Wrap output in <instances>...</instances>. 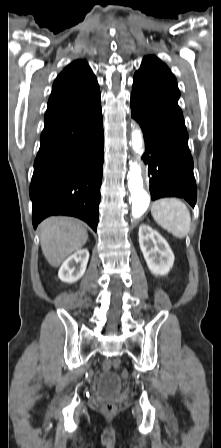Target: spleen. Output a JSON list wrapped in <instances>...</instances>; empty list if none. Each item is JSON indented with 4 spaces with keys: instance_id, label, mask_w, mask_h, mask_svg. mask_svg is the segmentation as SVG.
Wrapping results in <instances>:
<instances>
[{
    "instance_id": "3e777b00",
    "label": "spleen",
    "mask_w": 221,
    "mask_h": 448,
    "mask_svg": "<svg viewBox=\"0 0 221 448\" xmlns=\"http://www.w3.org/2000/svg\"><path fill=\"white\" fill-rule=\"evenodd\" d=\"M151 214L156 223L176 238L188 235L191 216L187 206L176 198H162L151 206Z\"/></svg>"
}]
</instances>
